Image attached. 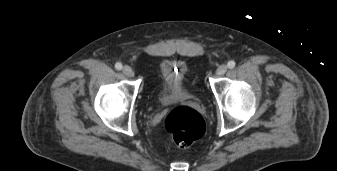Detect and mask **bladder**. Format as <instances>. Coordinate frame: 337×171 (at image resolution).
Returning <instances> with one entry per match:
<instances>
[{"mask_svg":"<svg viewBox=\"0 0 337 171\" xmlns=\"http://www.w3.org/2000/svg\"><path fill=\"white\" fill-rule=\"evenodd\" d=\"M187 66L182 62L164 61L158 69L156 101L161 105L181 102L191 98L186 86Z\"/></svg>","mask_w":337,"mask_h":171,"instance_id":"bladder-1","label":"bladder"}]
</instances>
